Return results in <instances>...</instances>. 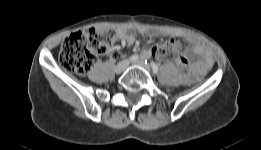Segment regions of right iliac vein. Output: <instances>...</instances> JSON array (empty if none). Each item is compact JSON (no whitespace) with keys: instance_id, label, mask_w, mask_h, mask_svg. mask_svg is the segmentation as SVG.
Here are the masks:
<instances>
[{"instance_id":"obj_1","label":"right iliac vein","mask_w":261,"mask_h":150,"mask_svg":"<svg viewBox=\"0 0 261 150\" xmlns=\"http://www.w3.org/2000/svg\"><path fill=\"white\" fill-rule=\"evenodd\" d=\"M128 66V61L127 60H124V61H121L119 62L116 67H115V72L117 74H120L122 73L123 71H125V69L127 68Z\"/></svg>"}]
</instances>
